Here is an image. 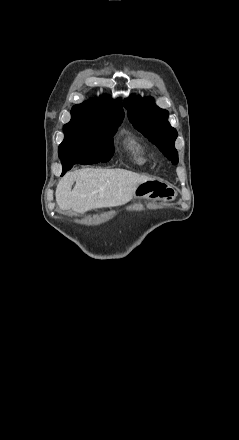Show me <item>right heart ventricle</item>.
I'll return each instance as SVG.
<instances>
[{"mask_svg": "<svg viewBox=\"0 0 239 440\" xmlns=\"http://www.w3.org/2000/svg\"><path fill=\"white\" fill-rule=\"evenodd\" d=\"M123 148L131 161L138 167H146L150 157L146 146L134 135H129L123 140Z\"/></svg>", "mask_w": 239, "mask_h": 440, "instance_id": "1", "label": "right heart ventricle"}]
</instances>
